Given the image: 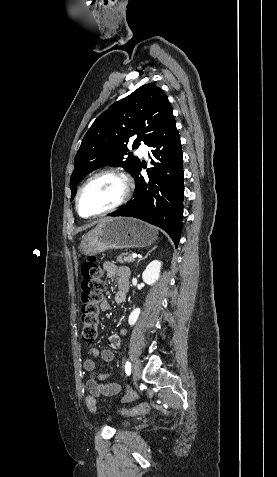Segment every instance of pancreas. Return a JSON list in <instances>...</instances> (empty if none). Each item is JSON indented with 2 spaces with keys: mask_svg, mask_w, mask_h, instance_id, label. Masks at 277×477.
Returning a JSON list of instances; mask_svg holds the SVG:
<instances>
[{
  "mask_svg": "<svg viewBox=\"0 0 277 477\" xmlns=\"http://www.w3.org/2000/svg\"><path fill=\"white\" fill-rule=\"evenodd\" d=\"M116 260L120 263H124V262H127V263H131V262H134V257L132 256V254L130 253H123L121 254L120 256H118L116 258Z\"/></svg>",
  "mask_w": 277,
  "mask_h": 477,
  "instance_id": "cf45deb5",
  "label": "pancreas"
}]
</instances>
